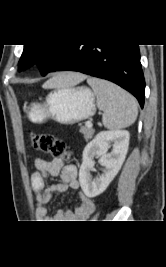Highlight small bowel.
<instances>
[{"mask_svg":"<svg viewBox=\"0 0 166 267\" xmlns=\"http://www.w3.org/2000/svg\"><path fill=\"white\" fill-rule=\"evenodd\" d=\"M36 171L31 176V185L36 196L35 215L39 220L50 222H79L86 220L93 210L94 204L90 197L80 191L78 171L74 165H64L63 160L55 158L46 161L41 158L35 160ZM50 176H60L61 181L46 185ZM68 189L77 191L78 205L72 211H58L49 215L45 204L50 201L53 194L64 193Z\"/></svg>","mask_w":166,"mask_h":267,"instance_id":"obj_1","label":"small bowel"}]
</instances>
